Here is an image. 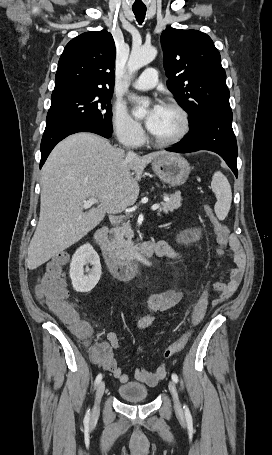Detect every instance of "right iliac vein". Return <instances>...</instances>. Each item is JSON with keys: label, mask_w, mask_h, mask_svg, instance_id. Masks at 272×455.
Listing matches in <instances>:
<instances>
[{"label": "right iliac vein", "mask_w": 272, "mask_h": 455, "mask_svg": "<svg viewBox=\"0 0 272 455\" xmlns=\"http://www.w3.org/2000/svg\"><path fill=\"white\" fill-rule=\"evenodd\" d=\"M104 391H105V383H104V381H100L97 386V390H96L93 415H97L99 413V405H100L101 398L104 394Z\"/></svg>", "instance_id": "right-iliac-vein-1"}]
</instances>
